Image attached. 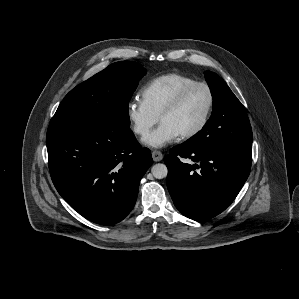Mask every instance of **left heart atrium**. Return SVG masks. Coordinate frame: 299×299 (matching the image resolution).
Instances as JSON below:
<instances>
[{
    "label": "left heart atrium",
    "instance_id": "obj_1",
    "mask_svg": "<svg viewBox=\"0 0 299 299\" xmlns=\"http://www.w3.org/2000/svg\"><path fill=\"white\" fill-rule=\"evenodd\" d=\"M180 134L167 123L161 122L159 126L150 132L143 143L153 148H161L176 140Z\"/></svg>",
    "mask_w": 299,
    "mask_h": 299
}]
</instances>
